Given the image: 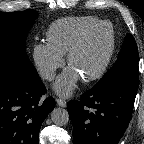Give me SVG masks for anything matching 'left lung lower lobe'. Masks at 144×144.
<instances>
[{"label":"left lung lower lobe","mask_w":144,"mask_h":144,"mask_svg":"<svg viewBox=\"0 0 144 144\" xmlns=\"http://www.w3.org/2000/svg\"><path fill=\"white\" fill-rule=\"evenodd\" d=\"M139 83L107 88L96 84L67 103L74 144H117L131 119Z\"/></svg>","instance_id":"0a47b994"}]
</instances>
